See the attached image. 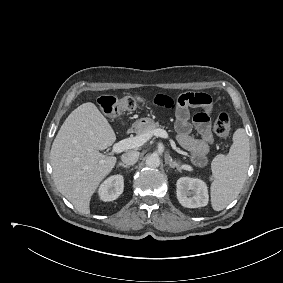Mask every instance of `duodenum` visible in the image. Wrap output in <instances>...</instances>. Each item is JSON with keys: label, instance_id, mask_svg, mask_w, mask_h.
Instances as JSON below:
<instances>
[{"label": "duodenum", "instance_id": "1", "mask_svg": "<svg viewBox=\"0 0 283 283\" xmlns=\"http://www.w3.org/2000/svg\"><path fill=\"white\" fill-rule=\"evenodd\" d=\"M137 130H138V127L134 126L131 129H129L128 133H133V132H136Z\"/></svg>", "mask_w": 283, "mask_h": 283}]
</instances>
